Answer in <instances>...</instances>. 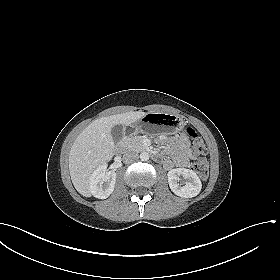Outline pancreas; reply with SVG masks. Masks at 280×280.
Masks as SVG:
<instances>
[{"mask_svg":"<svg viewBox=\"0 0 280 280\" xmlns=\"http://www.w3.org/2000/svg\"><path fill=\"white\" fill-rule=\"evenodd\" d=\"M143 138L141 136H132L126 138L124 141V147L130 151L140 152L145 149V146L142 143Z\"/></svg>","mask_w":280,"mask_h":280,"instance_id":"1","label":"pancreas"}]
</instances>
